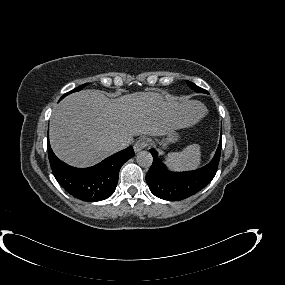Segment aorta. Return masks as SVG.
I'll use <instances>...</instances> for the list:
<instances>
[{
    "instance_id": "1",
    "label": "aorta",
    "mask_w": 285,
    "mask_h": 285,
    "mask_svg": "<svg viewBox=\"0 0 285 285\" xmlns=\"http://www.w3.org/2000/svg\"><path fill=\"white\" fill-rule=\"evenodd\" d=\"M136 161L139 166L148 168L152 165L153 157L150 152L144 150L137 154Z\"/></svg>"
}]
</instances>
